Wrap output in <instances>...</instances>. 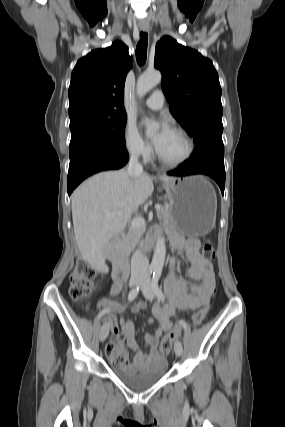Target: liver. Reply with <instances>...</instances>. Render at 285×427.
I'll return each mask as SVG.
<instances>
[{
  "label": "liver",
  "mask_w": 285,
  "mask_h": 427,
  "mask_svg": "<svg viewBox=\"0 0 285 427\" xmlns=\"http://www.w3.org/2000/svg\"><path fill=\"white\" fill-rule=\"evenodd\" d=\"M165 183L175 178L162 175ZM154 190L148 174L129 176L126 170L96 174L83 182L71 196L75 239L82 258L95 269L104 267L110 239L122 232L133 212ZM121 211V215L108 213Z\"/></svg>",
  "instance_id": "liver-1"
}]
</instances>
